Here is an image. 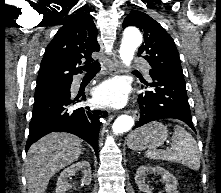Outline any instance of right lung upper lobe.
<instances>
[{
  "label": "right lung upper lobe",
  "mask_w": 221,
  "mask_h": 193,
  "mask_svg": "<svg viewBox=\"0 0 221 193\" xmlns=\"http://www.w3.org/2000/svg\"><path fill=\"white\" fill-rule=\"evenodd\" d=\"M99 50L92 18L85 13L74 14L47 46L36 87L72 82L73 75L82 73L81 60L93 61L91 54Z\"/></svg>",
  "instance_id": "obj_1"
}]
</instances>
